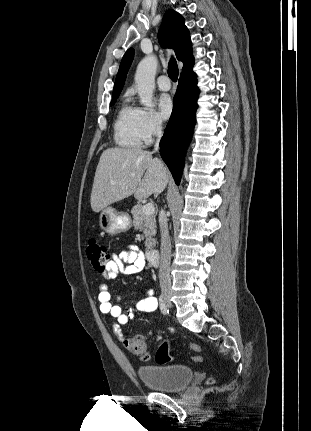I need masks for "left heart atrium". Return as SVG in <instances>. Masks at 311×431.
I'll use <instances>...</instances> for the list:
<instances>
[{
    "instance_id": "left-heart-atrium-1",
    "label": "left heart atrium",
    "mask_w": 311,
    "mask_h": 431,
    "mask_svg": "<svg viewBox=\"0 0 311 431\" xmlns=\"http://www.w3.org/2000/svg\"><path fill=\"white\" fill-rule=\"evenodd\" d=\"M159 109L164 119H169L174 112V102L170 95L164 94L159 99Z\"/></svg>"
}]
</instances>
